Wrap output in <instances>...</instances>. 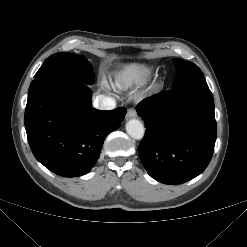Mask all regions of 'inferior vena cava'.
<instances>
[{
	"label": "inferior vena cava",
	"mask_w": 247,
	"mask_h": 247,
	"mask_svg": "<svg viewBox=\"0 0 247 247\" xmlns=\"http://www.w3.org/2000/svg\"><path fill=\"white\" fill-rule=\"evenodd\" d=\"M93 106L100 110H113L116 107V102L114 98L99 95L94 99Z\"/></svg>",
	"instance_id": "obj_1"
}]
</instances>
